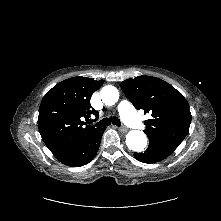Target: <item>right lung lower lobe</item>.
<instances>
[{
  "label": "right lung lower lobe",
  "mask_w": 221,
  "mask_h": 221,
  "mask_svg": "<svg viewBox=\"0 0 221 221\" xmlns=\"http://www.w3.org/2000/svg\"><path fill=\"white\" fill-rule=\"evenodd\" d=\"M105 128H99L81 137L67 149L55 154L65 165L79 167L88 164L97 154Z\"/></svg>",
  "instance_id": "obj_1"
}]
</instances>
